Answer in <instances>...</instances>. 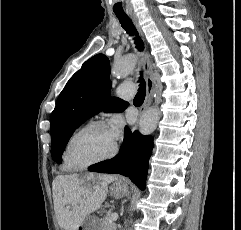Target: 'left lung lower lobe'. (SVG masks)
<instances>
[{
  "instance_id": "0a47b994",
  "label": "left lung lower lobe",
  "mask_w": 241,
  "mask_h": 230,
  "mask_svg": "<svg viewBox=\"0 0 241 230\" xmlns=\"http://www.w3.org/2000/svg\"><path fill=\"white\" fill-rule=\"evenodd\" d=\"M152 149L153 138L151 136H143L137 131L132 133L126 127L120 153L111 160L90 166L89 171L119 173L129 177L141 190H144Z\"/></svg>"
}]
</instances>
